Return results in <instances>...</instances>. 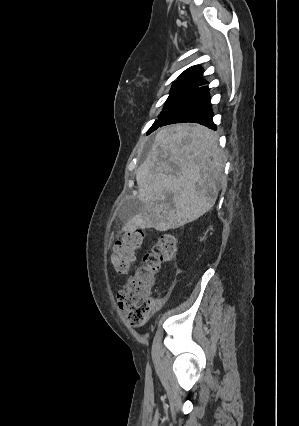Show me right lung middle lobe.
I'll list each match as a JSON object with an SVG mask.
<instances>
[{"label": "right lung middle lobe", "mask_w": 299, "mask_h": 426, "mask_svg": "<svg viewBox=\"0 0 299 426\" xmlns=\"http://www.w3.org/2000/svg\"><path fill=\"white\" fill-rule=\"evenodd\" d=\"M195 89L197 88L193 86L173 85L170 91V95L166 101L165 107L163 108L161 114L158 116V120H156L150 128L149 133L151 132V129L162 119V117L167 111H169L176 103H178L185 96L193 92Z\"/></svg>", "instance_id": "obj_1"}]
</instances>
